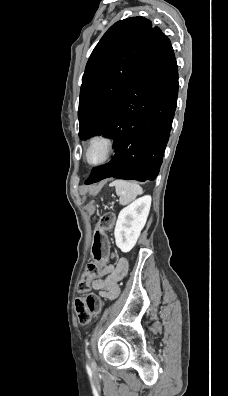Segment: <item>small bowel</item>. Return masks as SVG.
<instances>
[{
	"label": "small bowel",
	"mask_w": 228,
	"mask_h": 396,
	"mask_svg": "<svg viewBox=\"0 0 228 396\" xmlns=\"http://www.w3.org/2000/svg\"><path fill=\"white\" fill-rule=\"evenodd\" d=\"M128 268V261L124 258L119 259L115 265H105L102 276L92 280V288L104 299H115L120 292L118 282L127 274Z\"/></svg>",
	"instance_id": "c3829d8e"
}]
</instances>
